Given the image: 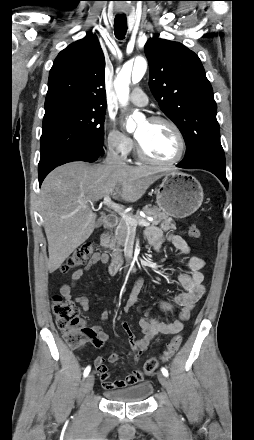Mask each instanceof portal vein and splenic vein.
Wrapping results in <instances>:
<instances>
[{
	"mask_svg": "<svg viewBox=\"0 0 254 440\" xmlns=\"http://www.w3.org/2000/svg\"><path fill=\"white\" fill-rule=\"evenodd\" d=\"M103 203L107 207H109L112 210H114L115 212H117L128 226L136 227L137 225H140V226H149L150 225V223L145 219H135L130 214L125 213L123 208L120 205L114 203L111 200L110 195H106L104 197Z\"/></svg>",
	"mask_w": 254,
	"mask_h": 440,
	"instance_id": "1",
	"label": "portal vein and splenic vein"
}]
</instances>
